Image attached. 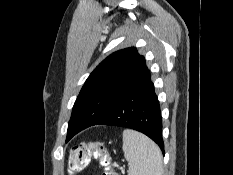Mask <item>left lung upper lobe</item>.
I'll return each instance as SVG.
<instances>
[{
	"label": "left lung upper lobe",
	"instance_id": "left-lung-upper-lobe-1",
	"mask_svg": "<svg viewBox=\"0 0 233 175\" xmlns=\"http://www.w3.org/2000/svg\"><path fill=\"white\" fill-rule=\"evenodd\" d=\"M148 70L134 47L116 51L104 59L87 78L73 106L66 142L91 126Z\"/></svg>",
	"mask_w": 233,
	"mask_h": 175
}]
</instances>
